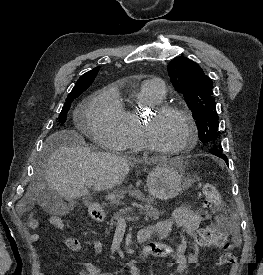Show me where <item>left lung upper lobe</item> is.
Instances as JSON below:
<instances>
[{
  "label": "left lung upper lobe",
  "instance_id": "obj_1",
  "mask_svg": "<svg viewBox=\"0 0 263 275\" xmlns=\"http://www.w3.org/2000/svg\"><path fill=\"white\" fill-rule=\"evenodd\" d=\"M168 74L174 88L184 95L188 107L193 112L200 141L207 147H221L211 79L203 73L197 63L186 57L173 59L168 64Z\"/></svg>",
  "mask_w": 263,
  "mask_h": 275
}]
</instances>
